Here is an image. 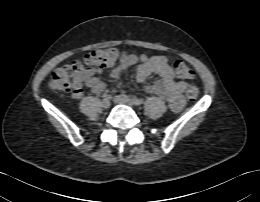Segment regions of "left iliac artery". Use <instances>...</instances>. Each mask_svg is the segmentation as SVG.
<instances>
[{"label": "left iliac artery", "instance_id": "left-iliac-artery-1", "mask_svg": "<svg viewBox=\"0 0 260 202\" xmlns=\"http://www.w3.org/2000/svg\"><path fill=\"white\" fill-rule=\"evenodd\" d=\"M132 102L135 104V105H141L142 104V101L136 97H133L132 98Z\"/></svg>", "mask_w": 260, "mask_h": 202}]
</instances>
